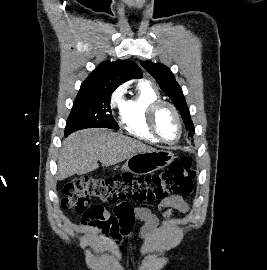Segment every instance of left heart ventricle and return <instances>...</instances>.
Listing matches in <instances>:
<instances>
[{
  "label": "left heart ventricle",
  "instance_id": "left-heart-ventricle-1",
  "mask_svg": "<svg viewBox=\"0 0 267 270\" xmlns=\"http://www.w3.org/2000/svg\"><path fill=\"white\" fill-rule=\"evenodd\" d=\"M156 125L160 135L167 141L177 139L179 129L174 113L167 107L162 108L156 117Z\"/></svg>",
  "mask_w": 267,
  "mask_h": 270
}]
</instances>
